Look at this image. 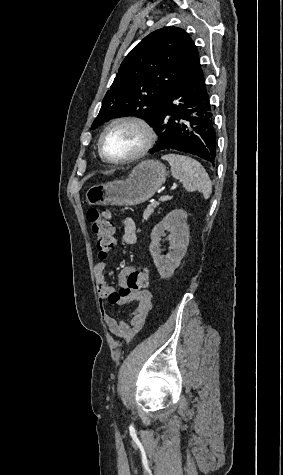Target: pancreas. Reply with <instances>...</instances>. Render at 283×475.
<instances>
[{
    "label": "pancreas",
    "mask_w": 283,
    "mask_h": 475,
    "mask_svg": "<svg viewBox=\"0 0 283 475\" xmlns=\"http://www.w3.org/2000/svg\"><path fill=\"white\" fill-rule=\"evenodd\" d=\"M167 200H172V196H164V200H162V202H167ZM157 206H159V202H154V204H148L146 210H144L143 220H148V218L152 216L154 208H157Z\"/></svg>",
    "instance_id": "cf45deb5"
}]
</instances>
